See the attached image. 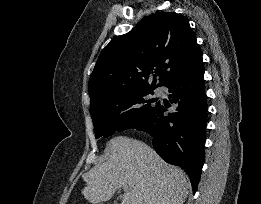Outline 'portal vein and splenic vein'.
I'll list each match as a JSON object with an SVG mask.
<instances>
[{
    "label": "portal vein and splenic vein",
    "instance_id": "obj_1",
    "mask_svg": "<svg viewBox=\"0 0 261 204\" xmlns=\"http://www.w3.org/2000/svg\"><path fill=\"white\" fill-rule=\"evenodd\" d=\"M123 189L126 191L128 189L127 185H123Z\"/></svg>",
    "mask_w": 261,
    "mask_h": 204
}]
</instances>
